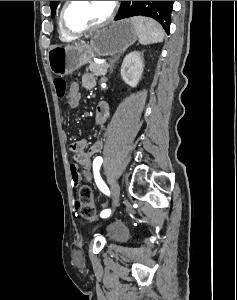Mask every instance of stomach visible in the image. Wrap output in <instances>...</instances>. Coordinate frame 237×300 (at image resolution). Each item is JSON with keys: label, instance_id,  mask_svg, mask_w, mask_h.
<instances>
[{"label": "stomach", "instance_id": "obj_1", "mask_svg": "<svg viewBox=\"0 0 237 300\" xmlns=\"http://www.w3.org/2000/svg\"><path fill=\"white\" fill-rule=\"evenodd\" d=\"M135 41L137 35L130 19L112 21L94 31L90 35L89 43H79L75 47L73 45L50 47L47 53L49 69L59 77L72 75L73 71L89 63L92 57L117 55L128 49Z\"/></svg>", "mask_w": 237, "mask_h": 300}]
</instances>
